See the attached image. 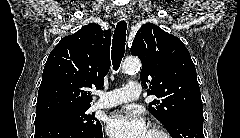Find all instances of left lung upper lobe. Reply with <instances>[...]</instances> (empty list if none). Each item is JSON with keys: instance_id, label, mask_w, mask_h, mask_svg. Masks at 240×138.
I'll return each mask as SVG.
<instances>
[{"instance_id": "1", "label": "left lung upper lobe", "mask_w": 240, "mask_h": 138, "mask_svg": "<svg viewBox=\"0 0 240 138\" xmlns=\"http://www.w3.org/2000/svg\"><path fill=\"white\" fill-rule=\"evenodd\" d=\"M131 53L142 62L140 79L145 88L150 84L147 94L157 97L149 109L167 129L184 115L203 112L196 69L179 38L146 23L137 31Z\"/></svg>"}]
</instances>
